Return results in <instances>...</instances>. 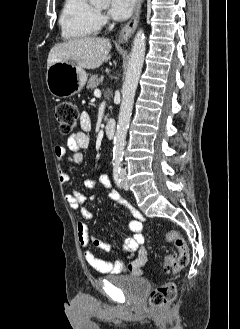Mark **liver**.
<instances>
[{"instance_id": "obj_1", "label": "liver", "mask_w": 240, "mask_h": 329, "mask_svg": "<svg viewBox=\"0 0 240 329\" xmlns=\"http://www.w3.org/2000/svg\"><path fill=\"white\" fill-rule=\"evenodd\" d=\"M108 39L85 37L55 45L49 52L47 69L57 62H69L80 68L96 69L110 59Z\"/></svg>"}]
</instances>
